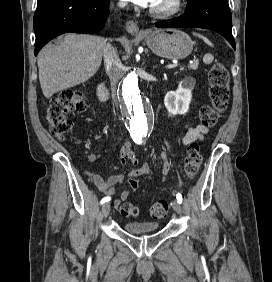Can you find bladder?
<instances>
[{
    "label": "bladder",
    "instance_id": "bladder-1",
    "mask_svg": "<svg viewBox=\"0 0 272 282\" xmlns=\"http://www.w3.org/2000/svg\"><path fill=\"white\" fill-rule=\"evenodd\" d=\"M123 229L132 234H145L159 229V223L150 221H130L123 225Z\"/></svg>",
    "mask_w": 272,
    "mask_h": 282
}]
</instances>
